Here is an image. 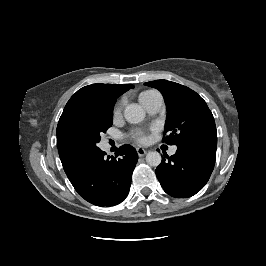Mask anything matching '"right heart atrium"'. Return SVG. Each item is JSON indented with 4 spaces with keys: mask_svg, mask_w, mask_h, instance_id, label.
I'll list each match as a JSON object with an SVG mask.
<instances>
[{
    "mask_svg": "<svg viewBox=\"0 0 266 266\" xmlns=\"http://www.w3.org/2000/svg\"><path fill=\"white\" fill-rule=\"evenodd\" d=\"M121 110H122V105H121V104H118V105L116 106V108H115L114 113H115L116 115H118V114H120Z\"/></svg>",
    "mask_w": 266,
    "mask_h": 266,
    "instance_id": "d8ad5b80",
    "label": "right heart atrium"
}]
</instances>
